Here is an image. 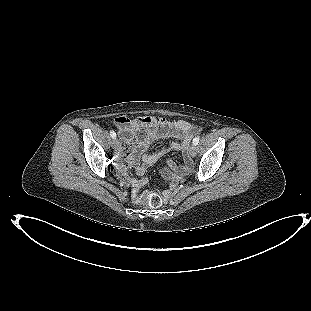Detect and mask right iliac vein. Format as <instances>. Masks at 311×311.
<instances>
[{
  "label": "right iliac vein",
  "mask_w": 311,
  "mask_h": 311,
  "mask_svg": "<svg viewBox=\"0 0 311 311\" xmlns=\"http://www.w3.org/2000/svg\"><path fill=\"white\" fill-rule=\"evenodd\" d=\"M112 148L114 149V150H117L118 148H119V141H118V139H114L113 141H112Z\"/></svg>",
  "instance_id": "right-iliac-vein-1"
}]
</instances>
